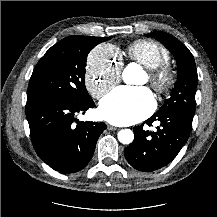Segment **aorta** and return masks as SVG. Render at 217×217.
Wrapping results in <instances>:
<instances>
[{"label": "aorta", "instance_id": "1", "mask_svg": "<svg viewBox=\"0 0 217 217\" xmlns=\"http://www.w3.org/2000/svg\"><path fill=\"white\" fill-rule=\"evenodd\" d=\"M140 66L135 63H130L123 71L122 77L126 84L136 83L137 76L140 73ZM118 140L122 144H130L134 140V133L130 129H122L118 132Z\"/></svg>", "mask_w": 217, "mask_h": 217}]
</instances>
